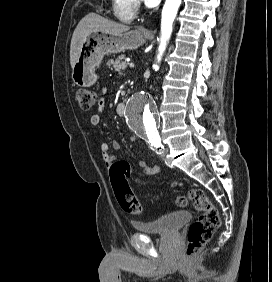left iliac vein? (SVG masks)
<instances>
[{"label": "left iliac vein", "instance_id": "4c4485c4", "mask_svg": "<svg viewBox=\"0 0 272 282\" xmlns=\"http://www.w3.org/2000/svg\"><path fill=\"white\" fill-rule=\"evenodd\" d=\"M161 158L162 160L166 161V150L165 149L161 151Z\"/></svg>", "mask_w": 272, "mask_h": 282}]
</instances>
